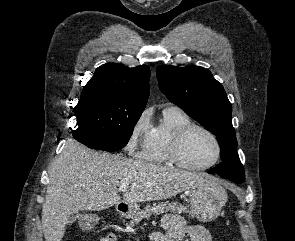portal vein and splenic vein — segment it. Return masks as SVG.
Segmentation results:
<instances>
[{
  "mask_svg": "<svg viewBox=\"0 0 295 241\" xmlns=\"http://www.w3.org/2000/svg\"><path fill=\"white\" fill-rule=\"evenodd\" d=\"M129 185L127 184H123L121 186H119V190L122 192H125L128 189Z\"/></svg>",
  "mask_w": 295,
  "mask_h": 241,
  "instance_id": "obj_1",
  "label": "portal vein and splenic vein"
}]
</instances>
